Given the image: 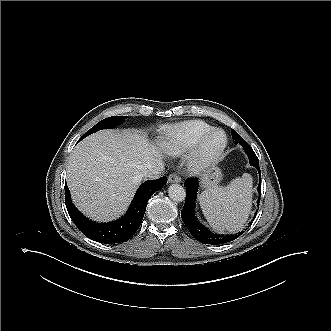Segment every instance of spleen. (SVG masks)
Segmentation results:
<instances>
[{"label": "spleen", "mask_w": 331, "mask_h": 331, "mask_svg": "<svg viewBox=\"0 0 331 331\" xmlns=\"http://www.w3.org/2000/svg\"><path fill=\"white\" fill-rule=\"evenodd\" d=\"M252 177L245 173L226 186L204 190L199 203L207 221L216 231L243 229L252 205Z\"/></svg>", "instance_id": "obj_1"}]
</instances>
